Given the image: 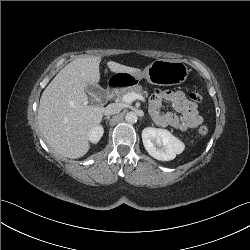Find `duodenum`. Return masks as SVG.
Returning a JSON list of instances; mask_svg holds the SVG:
<instances>
[{"instance_id": "1", "label": "duodenum", "mask_w": 250, "mask_h": 250, "mask_svg": "<svg viewBox=\"0 0 250 250\" xmlns=\"http://www.w3.org/2000/svg\"><path fill=\"white\" fill-rule=\"evenodd\" d=\"M121 85L120 80H113L109 83L106 89V95L111 98L114 95L115 90Z\"/></svg>"}]
</instances>
